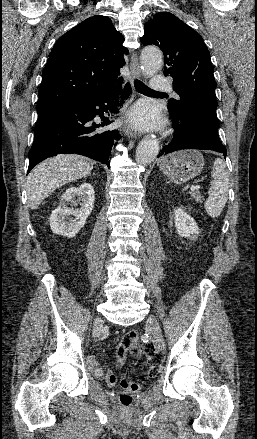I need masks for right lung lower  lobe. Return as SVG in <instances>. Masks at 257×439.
<instances>
[{
  "mask_svg": "<svg viewBox=\"0 0 257 439\" xmlns=\"http://www.w3.org/2000/svg\"><path fill=\"white\" fill-rule=\"evenodd\" d=\"M119 84V85H116ZM103 93L75 99L38 112L34 142L29 151L28 173L39 162L58 154L76 153L110 167V150L121 138L117 130L102 127L112 121L105 117L118 113L116 98L129 96L131 86L121 90V80ZM99 116L101 123L94 122Z\"/></svg>",
  "mask_w": 257,
  "mask_h": 439,
  "instance_id": "right-lung-lower-lobe-1",
  "label": "right lung lower lobe"
}]
</instances>
